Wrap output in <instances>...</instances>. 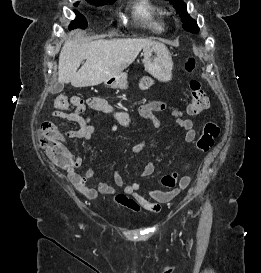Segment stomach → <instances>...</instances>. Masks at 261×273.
<instances>
[{"instance_id": "stomach-1", "label": "stomach", "mask_w": 261, "mask_h": 273, "mask_svg": "<svg viewBox=\"0 0 261 273\" xmlns=\"http://www.w3.org/2000/svg\"><path fill=\"white\" fill-rule=\"evenodd\" d=\"M143 62L146 71L160 81H169L172 77V58L167 47L160 42H152L143 48ZM112 88H127V74L120 72L105 81Z\"/></svg>"}]
</instances>
